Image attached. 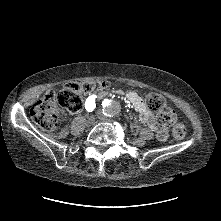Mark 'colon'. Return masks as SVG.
Segmentation results:
<instances>
[{"instance_id": "obj_1", "label": "colon", "mask_w": 221, "mask_h": 221, "mask_svg": "<svg viewBox=\"0 0 221 221\" xmlns=\"http://www.w3.org/2000/svg\"><path fill=\"white\" fill-rule=\"evenodd\" d=\"M109 82H103L99 85L91 83L78 84L75 82L67 83L61 91L46 93L31 107V117L34 123L45 132H55L58 137L65 138L66 131L57 129V121L62 117L63 111L77 114L84 108V95L94 91L96 88H109ZM149 107L158 114L159 125L156 130V137L159 141H166L169 138L168 125L173 120V113L166 105L165 100L158 94L148 96ZM176 138L181 139L185 135V126L182 123H176L173 128Z\"/></svg>"}]
</instances>
